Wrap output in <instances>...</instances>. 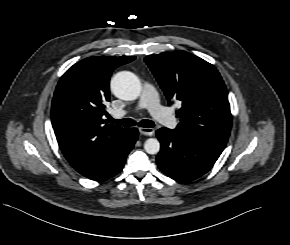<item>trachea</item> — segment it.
Masks as SVG:
<instances>
[{"label": "trachea", "mask_w": 290, "mask_h": 245, "mask_svg": "<svg viewBox=\"0 0 290 245\" xmlns=\"http://www.w3.org/2000/svg\"><path fill=\"white\" fill-rule=\"evenodd\" d=\"M109 122L112 124L119 125V126H135L137 124L138 126L143 127V128H152L155 126V123L153 121L147 120V119L141 120L139 123H136V121L130 118L117 120L110 117Z\"/></svg>", "instance_id": "trachea-1"}]
</instances>
